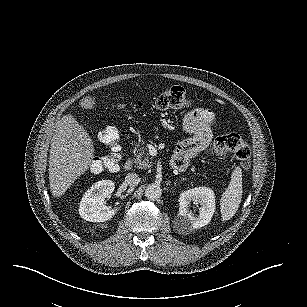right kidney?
<instances>
[{
  "label": "right kidney",
  "instance_id": "1",
  "mask_svg": "<svg viewBox=\"0 0 307 307\" xmlns=\"http://www.w3.org/2000/svg\"><path fill=\"white\" fill-rule=\"evenodd\" d=\"M115 189L112 180H100L88 189L79 205V215L89 222H105L110 220L119 208H111L105 205L107 198Z\"/></svg>",
  "mask_w": 307,
  "mask_h": 307
}]
</instances>
